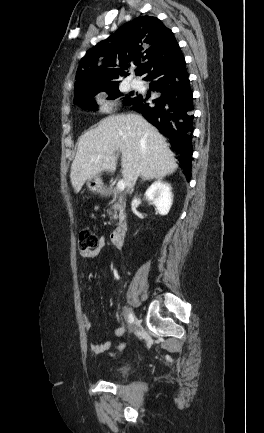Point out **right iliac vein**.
Returning <instances> with one entry per match:
<instances>
[{
    "mask_svg": "<svg viewBox=\"0 0 264 433\" xmlns=\"http://www.w3.org/2000/svg\"><path fill=\"white\" fill-rule=\"evenodd\" d=\"M137 325H138V321H137V319L135 318L134 321H133V325H132V327H131V330L134 331V330L136 329V326H137Z\"/></svg>",
    "mask_w": 264,
    "mask_h": 433,
    "instance_id": "1",
    "label": "right iliac vein"
}]
</instances>
